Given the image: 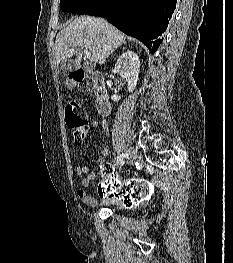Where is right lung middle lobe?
<instances>
[{
    "instance_id": "right-lung-middle-lobe-1",
    "label": "right lung middle lobe",
    "mask_w": 233,
    "mask_h": 263,
    "mask_svg": "<svg viewBox=\"0 0 233 263\" xmlns=\"http://www.w3.org/2000/svg\"><path fill=\"white\" fill-rule=\"evenodd\" d=\"M101 0H60L65 13L88 14Z\"/></svg>"
}]
</instances>
